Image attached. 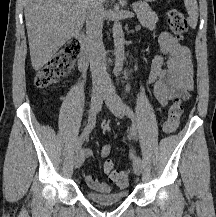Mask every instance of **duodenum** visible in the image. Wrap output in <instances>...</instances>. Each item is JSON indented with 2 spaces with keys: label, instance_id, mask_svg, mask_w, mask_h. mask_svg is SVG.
<instances>
[{
  "label": "duodenum",
  "instance_id": "obj_1",
  "mask_svg": "<svg viewBox=\"0 0 216 217\" xmlns=\"http://www.w3.org/2000/svg\"><path fill=\"white\" fill-rule=\"evenodd\" d=\"M76 39L80 44V53L78 57L80 69L83 70L89 60V46L86 40V37L83 33L79 32L76 35Z\"/></svg>",
  "mask_w": 216,
  "mask_h": 217
}]
</instances>
